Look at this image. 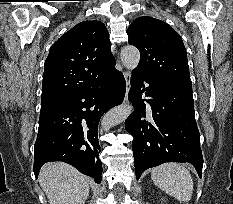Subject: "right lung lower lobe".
Listing matches in <instances>:
<instances>
[{"label": "right lung lower lobe", "instance_id": "98d812e1", "mask_svg": "<svg viewBox=\"0 0 233 204\" xmlns=\"http://www.w3.org/2000/svg\"><path fill=\"white\" fill-rule=\"evenodd\" d=\"M126 83L115 67L96 85L75 93L40 115L35 142L34 174L46 162L63 161L101 182L98 123L110 108L123 102Z\"/></svg>", "mask_w": 233, "mask_h": 204}]
</instances>
